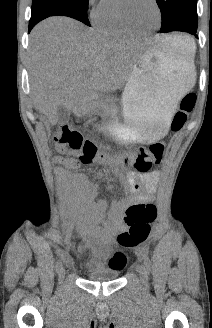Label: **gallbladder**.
Returning a JSON list of instances; mask_svg holds the SVG:
<instances>
[{
	"instance_id": "1",
	"label": "gallbladder",
	"mask_w": 212,
	"mask_h": 328,
	"mask_svg": "<svg viewBox=\"0 0 212 328\" xmlns=\"http://www.w3.org/2000/svg\"><path fill=\"white\" fill-rule=\"evenodd\" d=\"M70 109L65 108L63 106H59L57 109V114H58V124L62 125L65 124L69 121L70 119Z\"/></svg>"
}]
</instances>
